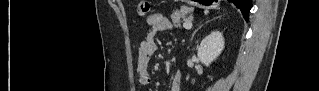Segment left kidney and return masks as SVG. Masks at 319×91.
<instances>
[{
  "mask_svg": "<svg viewBox=\"0 0 319 91\" xmlns=\"http://www.w3.org/2000/svg\"><path fill=\"white\" fill-rule=\"evenodd\" d=\"M223 34L219 31H213L206 36L200 43L197 56L202 64L209 66L224 49Z\"/></svg>",
  "mask_w": 319,
  "mask_h": 91,
  "instance_id": "left-kidney-1",
  "label": "left kidney"
}]
</instances>
